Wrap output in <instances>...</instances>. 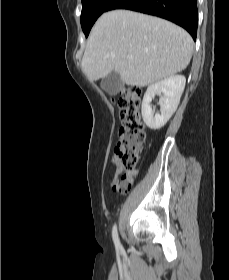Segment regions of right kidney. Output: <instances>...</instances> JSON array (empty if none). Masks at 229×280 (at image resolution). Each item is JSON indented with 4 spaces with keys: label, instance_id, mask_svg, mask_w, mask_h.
<instances>
[{
    "label": "right kidney",
    "instance_id": "1",
    "mask_svg": "<svg viewBox=\"0 0 229 280\" xmlns=\"http://www.w3.org/2000/svg\"><path fill=\"white\" fill-rule=\"evenodd\" d=\"M186 78L173 75L162 81L148 86L142 101V117L145 124L152 130L162 128L176 111L181 95L184 91ZM160 113L155 114L151 108V101L155 95H161Z\"/></svg>",
    "mask_w": 229,
    "mask_h": 280
}]
</instances>
